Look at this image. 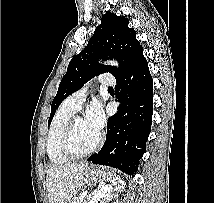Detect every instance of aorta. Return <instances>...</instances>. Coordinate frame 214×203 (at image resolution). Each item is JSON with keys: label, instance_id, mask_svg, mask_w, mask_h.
<instances>
[{"label": "aorta", "instance_id": "aorta-1", "mask_svg": "<svg viewBox=\"0 0 214 203\" xmlns=\"http://www.w3.org/2000/svg\"><path fill=\"white\" fill-rule=\"evenodd\" d=\"M105 63L109 64V65H113V66H117L118 67V63L116 61H114V60L106 61Z\"/></svg>", "mask_w": 214, "mask_h": 203}]
</instances>
